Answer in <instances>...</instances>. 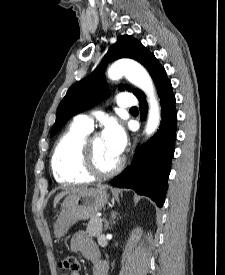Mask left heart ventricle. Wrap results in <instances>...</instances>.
<instances>
[{"instance_id": "left-heart-ventricle-1", "label": "left heart ventricle", "mask_w": 225, "mask_h": 275, "mask_svg": "<svg viewBox=\"0 0 225 275\" xmlns=\"http://www.w3.org/2000/svg\"><path fill=\"white\" fill-rule=\"evenodd\" d=\"M91 149L94 155L95 164L101 171H109L119 161V158L113 156L105 146L101 137H95L91 142Z\"/></svg>"}]
</instances>
